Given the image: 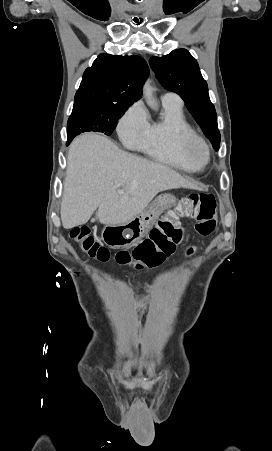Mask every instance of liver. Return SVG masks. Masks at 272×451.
Here are the masks:
<instances>
[{
  "label": "liver",
  "instance_id": "6515ba94",
  "mask_svg": "<svg viewBox=\"0 0 272 451\" xmlns=\"http://www.w3.org/2000/svg\"><path fill=\"white\" fill-rule=\"evenodd\" d=\"M172 188L196 186L168 166L119 150L106 136L81 134L68 152L62 226L70 229L87 224L97 208L100 224H124L147 208L159 192Z\"/></svg>",
  "mask_w": 272,
  "mask_h": 451
}]
</instances>
